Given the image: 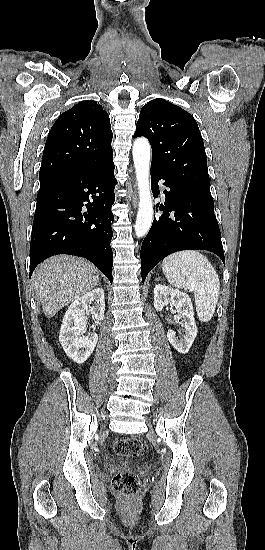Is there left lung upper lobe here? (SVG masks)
<instances>
[{"label":"left lung upper lobe","instance_id":"obj_1","mask_svg":"<svg viewBox=\"0 0 265 550\" xmlns=\"http://www.w3.org/2000/svg\"><path fill=\"white\" fill-rule=\"evenodd\" d=\"M139 136L151 144L152 168L174 186L213 201L203 139L191 114L164 99L151 100L140 111Z\"/></svg>","mask_w":265,"mask_h":550}]
</instances>
